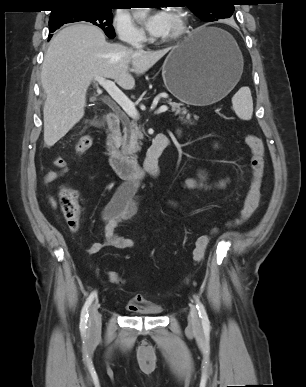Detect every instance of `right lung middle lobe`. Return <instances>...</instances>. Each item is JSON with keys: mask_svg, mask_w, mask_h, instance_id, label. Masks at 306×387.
<instances>
[{"mask_svg": "<svg viewBox=\"0 0 306 387\" xmlns=\"http://www.w3.org/2000/svg\"><path fill=\"white\" fill-rule=\"evenodd\" d=\"M111 9L103 6H73L52 12L49 19L50 33L66 23L86 21L100 27L109 38H114Z\"/></svg>", "mask_w": 306, "mask_h": 387, "instance_id": "right-lung-middle-lobe-1", "label": "right lung middle lobe"}]
</instances>
